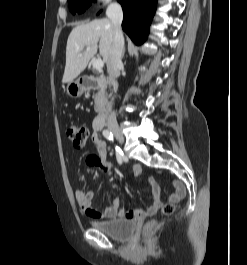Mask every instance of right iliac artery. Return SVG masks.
Instances as JSON below:
<instances>
[{"label": "right iliac artery", "instance_id": "right-iliac-artery-1", "mask_svg": "<svg viewBox=\"0 0 247 265\" xmlns=\"http://www.w3.org/2000/svg\"><path fill=\"white\" fill-rule=\"evenodd\" d=\"M103 136H104L105 138H107L108 140H113V134H112V132H110V131L107 130V129H105V130L103 131ZM122 155H123L122 151L120 150L119 147L116 146V157H117V160H118V162H119L120 164L122 163Z\"/></svg>", "mask_w": 247, "mask_h": 265}]
</instances>
